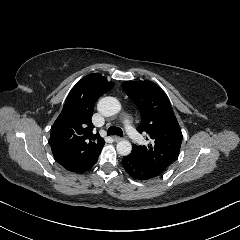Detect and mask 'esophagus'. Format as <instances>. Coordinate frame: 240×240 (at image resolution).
<instances>
[{"mask_svg":"<svg viewBox=\"0 0 240 240\" xmlns=\"http://www.w3.org/2000/svg\"><path fill=\"white\" fill-rule=\"evenodd\" d=\"M113 140H114L115 142H118V141L123 140V138H122V137L115 136V137H113Z\"/></svg>","mask_w":240,"mask_h":240,"instance_id":"esophagus-1","label":"esophagus"}]
</instances>
